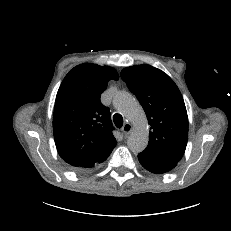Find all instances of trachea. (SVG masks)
I'll return each mask as SVG.
<instances>
[{
    "label": "trachea",
    "mask_w": 231,
    "mask_h": 231,
    "mask_svg": "<svg viewBox=\"0 0 231 231\" xmlns=\"http://www.w3.org/2000/svg\"><path fill=\"white\" fill-rule=\"evenodd\" d=\"M113 121L116 127L121 128L123 126V117L120 114H114Z\"/></svg>",
    "instance_id": "obj_1"
}]
</instances>
